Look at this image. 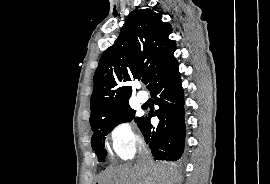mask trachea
<instances>
[{
	"label": "trachea",
	"mask_w": 270,
	"mask_h": 184,
	"mask_svg": "<svg viewBox=\"0 0 270 184\" xmlns=\"http://www.w3.org/2000/svg\"><path fill=\"white\" fill-rule=\"evenodd\" d=\"M143 83L144 84H147L148 83V79L143 80Z\"/></svg>",
	"instance_id": "1"
}]
</instances>
